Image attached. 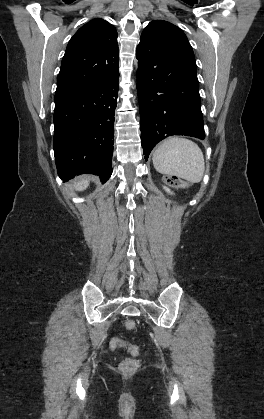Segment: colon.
<instances>
[{
	"label": "colon",
	"mask_w": 264,
	"mask_h": 419,
	"mask_svg": "<svg viewBox=\"0 0 264 419\" xmlns=\"http://www.w3.org/2000/svg\"><path fill=\"white\" fill-rule=\"evenodd\" d=\"M168 183L176 186V187H183L185 186V183L178 177H168L167 179ZM126 328L128 330H133L136 327V322L134 320H128L125 324ZM115 346L117 348L119 347H123V346H128V350L129 352L133 355V356H138L140 354V348L136 345H127L123 340L119 339L116 343ZM138 360L135 358H126L124 359L120 364H119V369L123 372V373H132L134 372L137 368H138Z\"/></svg>",
	"instance_id": "5ec220e1"
}]
</instances>
